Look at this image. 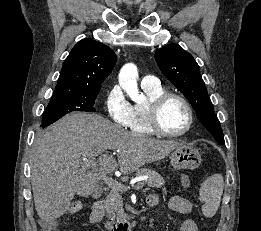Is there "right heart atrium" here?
Returning <instances> with one entry per match:
<instances>
[{
  "label": "right heart atrium",
  "mask_w": 261,
  "mask_h": 231,
  "mask_svg": "<svg viewBox=\"0 0 261 231\" xmlns=\"http://www.w3.org/2000/svg\"><path fill=\"white\" fill-rule=\"evenodd\" d=\"M106 111L113 123L128 127L131 116V104L128 102L123 90L114 86L105 99Z\"/></svg>",
  "instance_id": "right-heart-atrium-1"
}]
</instances>
